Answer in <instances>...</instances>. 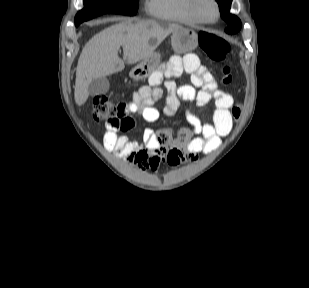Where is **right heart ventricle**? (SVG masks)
<instances>
[{"label": "right heart ventricle", "mask_w": 309, "mask_h": 288, "mask_svg": "<svg viewBox=\"0 0 309 288\" xmlns=\"http://www.w3.org/2000/svg\"><path fill=\"white\" fill-rule=\"evenodd\" d=\"M146 11L160 20L188 25L199 23L190 11V0H147Z\"/></svg>", "instance_id": "right-heart-ventricle-1"}]
</instances>
